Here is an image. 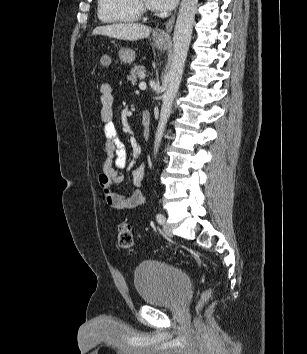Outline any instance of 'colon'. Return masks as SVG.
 Here are the masks:
<instances>
[{
	"label": "colon",
	"instance_id": "obj_1",
	"mask_svg": "<svg viewBox=\"0 0 307 354\" xmlns=\"http://www.w3.org/2000/svg\"><path fill=\"white\" fill-rule=\"evenodd\" d=\"M111 60L112 59L109 54H103L99 59V64L102 67L107 68L110 66ZM117 240L119 246L123 250L129 253H132L134 251L133 233L131 227L128 224L122 223L119 225L118 232H117ZM210 295H211V289L208 288L202 293L199 304L201 305L202 303H204L210 297Z\"/></svg>",
	"mask_w": 307,
	"mask_h": 354
}]
</instances>
